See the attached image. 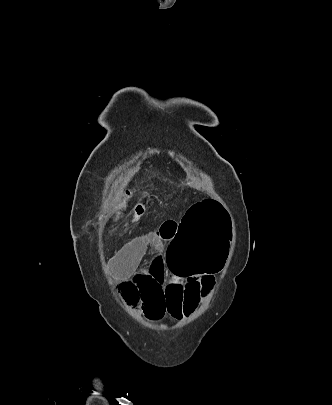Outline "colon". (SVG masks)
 Masks as SVG:
<instances>
[{
	"label": "colon",
	"mask_w": 332,
	"mask_h": 405,
	"mask_svg": "<svg viewBox=\"0 0 332 405\" xmlns=\"http://www.w3.org/2000/svg\"><path fill=\"white\" fill-rule=\"evenodd\" d=\"M215 197L190 202L184 220H175V240L167 248L168 267L174 275H216L226 268L230 257L229 211H221ZM123 297L137 305L141 292L134 283L121 286ZM143 303V302H142Z\"/></svg>",
	"instance_id": "5ec220e1"
}]
</instances>
